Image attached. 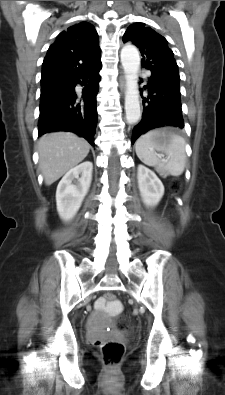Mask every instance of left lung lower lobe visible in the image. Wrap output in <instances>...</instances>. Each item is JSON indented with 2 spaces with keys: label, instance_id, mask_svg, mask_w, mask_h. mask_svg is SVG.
<instances>
[{
  "label": "left lung lower lobe",
  "instance_id": "1",
  "mask_svg": "<svg viewBox=\"0 0 225 395\" xmlns=\"http://www.w3.org/2000/svg\"><path fill=\"white\" fill-rule=\"evenodd\" d=\"M180 79L163 73H151L148 85V96L143 97L142 120L133 130L132 143L147 131L170 125L183 128L180 100Z\"/></svg>",
  "mask_w": 225,
  "mask_h": 395
}]
</instances>
